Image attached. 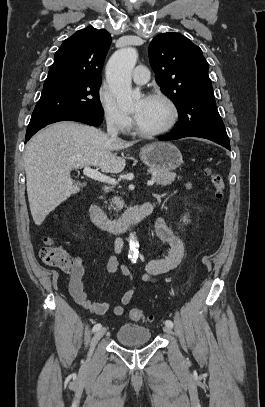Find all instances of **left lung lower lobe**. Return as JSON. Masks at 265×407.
Returning a JSON list of instances; mask_svg holds the SVG:
<instances>
[{
  "mask_svg": "<svg viewBox=\"0 0 265 407\" xmlns=\"http://www.w3.org/2000/svg\"><path fill=\"white\" fill-rule=\"evenodd\" d=\"M183 137H200V136L191 135V134H173V133H170V134H167V135H164V136H159L158 139L159 140H172V139H179V138H183ZM200 138H203V137H200ZM205 139H207V138H205ZM211 141H213V140H211ZM213 142L218 143V144H220V145H222V146H224V147H226L227 149L230 150V144L216 142V141H213Z\"/></svg>",
  "mask_w": 265,
  "mask_h": 407,
  "instance_id": "obj_1",
  "label": "left lung lower lobe"
}]
</instances>
